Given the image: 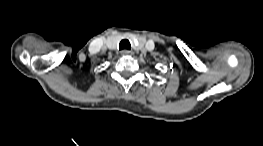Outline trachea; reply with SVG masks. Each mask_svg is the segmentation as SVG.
Returning <instances> with one entry per match:
<instances>
[{"label":"trachea","instance_id":"obj_1","mask_svg":"<svg viewBox=\"0 0 263 146\" xmlns=\"http://www.w3.org/2000/svg\"><path fill=\"white\" fill-rule=\"evenodd\" d=\"M119 49L120 50H122V49L130 50L131 49V43L127 39H124L120 42Z\"/></svg>","mask_w":263,"mask_h":146}]
</instances>
